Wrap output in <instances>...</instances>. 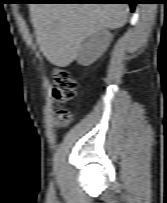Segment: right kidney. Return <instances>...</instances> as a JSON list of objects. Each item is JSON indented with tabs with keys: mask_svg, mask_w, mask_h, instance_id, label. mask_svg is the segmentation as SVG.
<instances>
[{
	"mask_svg": "<svg viewBox=\"0 0 167 203\" xmlns=\"http://www.w3.org/2000/svg\"><path fill=\"white\" fill-rule=\"evenodd\" d=\"M112 34L101 30L90 37L81 47L78 54V63L87 66L95 62L108 48Z\"/></svg>",
	"mask_w": 167,
	"mask_h": 203,
	"instance_id": "obj_1",
	"label": "right kidney"
}]
</instances>
